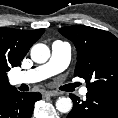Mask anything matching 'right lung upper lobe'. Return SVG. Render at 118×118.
<instances>
[{"instance_id": "cb5924a9", "label": "right lung upper lobe", "mask_w": 118, "mask_h": 118, "mask_svg": "<svg viewBox=\"0 0 118 118\" xmlns=\"http://www.w3.org/2000/svg\"><path fill=\"white\" fill-rule=\"evenodd\" d=\"M44 29L18 30L0 28V93L13 89L7 72L18 66L30 47L41 37Z\"/></svg>"}]
</instances>
